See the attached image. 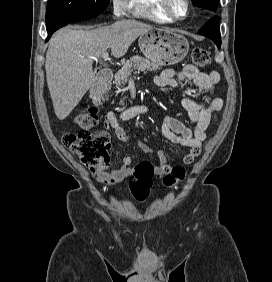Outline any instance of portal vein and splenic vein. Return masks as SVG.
<instances>
[{
	"label": "portal vein and splenic vein",
	"instance_id": "18ae733b",
	"mask_svg": "<svg viewBox=\"0 0 272 282\" xmlns=\"http://www.w3.org/2000/svg\"><path fill=\"white\" fill-rule=\"evenodd\" d=\"M101 59H103V60L108 59V52H104L101 56Z\"/></svg>",
	"mask_w": 272,
	"mask_h": 282
}]
</instances>
